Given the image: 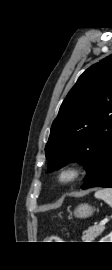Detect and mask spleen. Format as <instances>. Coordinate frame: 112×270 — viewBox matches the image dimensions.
<instances>
[{"mask_svg": "<svg viewBox=\"0 0 112 270\" xmlns=\"http://www.w3.org/2000/svg\"><path fill=\"white\" fill-rule=\"evenodd\" d=\"M95 197L97 199H102L103 201H105L109 206L112 207V188H105V189H101L98 190L95 193Z\"/></svg>", "mask_w": 112, "mask_h": 270, "instance_id": "3e777b00", "label": "spleen"}]
</instances>
